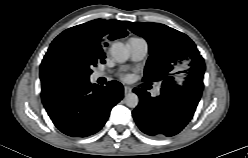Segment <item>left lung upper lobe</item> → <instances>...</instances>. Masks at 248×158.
I'll use <instances>...</instances> for the list:
<instances>
[{
	"mask_svg": "<svg viewBox=\"0 0 248 158\" xmlns=\"http://www.w3.org/2000/svg\"><path fill=\"white\" fill-rule=\"evenodd\" d=\"M125 23L149 44L144 81H162L161 91L187 89L202 93L204 59L187 35L159 23Z\"/></svg>",
	"mask_w": 248,
	"mask_h": 158,
	"instance_id": "obj_1",
	"label": "left lung upper lobe"
}]
</instances>
